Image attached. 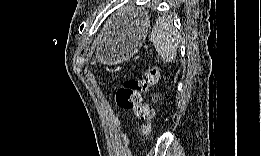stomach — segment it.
<instances>
[{"label": "stomach", "instance_id": "0dacf381", "mask_svg": "<svg viewBox=\"0 0 261 156\" xmlns=\"http://www.w3.org/2000/svg\"><path fill=\"white\" fill-rule=\"evenodd\" d=\"M148 25V17L137 18L125 28L114 32L100 47L99 60L116 63L130 58L144 41Z\"/></svg>", "mask_w": 261, "mask_h": 156}]
</instances>
